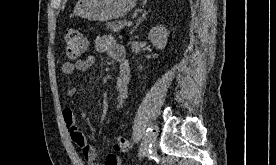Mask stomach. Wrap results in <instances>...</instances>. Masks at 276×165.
<instances>
[{
  "label": "stomach",
  "mask_w": 276,
  "mask_h": 165,
  "mask_svg": "<svg viewBox=\"0 0 276 165\" xmlns=\"http://www.w3.org/2000/svg\"><path fill=\"white\" fill-rule=\"evenodd\" d=\"M136 0H78L74 14L91 21H107L123 17Z\"/></svg>",
  "instance_id": "1"
}]
</instances>
